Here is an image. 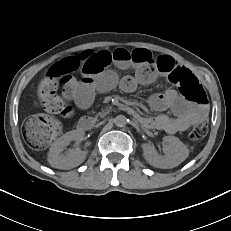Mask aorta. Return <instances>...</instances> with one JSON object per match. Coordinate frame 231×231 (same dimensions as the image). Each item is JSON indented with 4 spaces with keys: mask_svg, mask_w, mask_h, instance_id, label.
Returning <instances> with one entry per match:
<instances>
[{
    "mask_svg": "<svg viewBox=\"0 0 231 231\" xmlns=\"http://www.w3.org/2000/svg\"><path fill=\"white\" fill-rule=\"evenodd\" d=\"M128 120L124 115H118L114 118V123L118 127H124L127 124Z\"/></svg>",
    "mask_w": 231,
    "mask_h": 231,
    "instance_id": "762f6f07",
    "label": "aorta"
}]
</instances>
